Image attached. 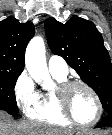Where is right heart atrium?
<instances>
[{"instance_id": "d8ad5b80", "label": "right heart atrium", "mask_w": 112, "mask_h": 135, "mask_svg": "<svg viewBox=\"0 0 112 135\" xmlns=\"http://www.w3.org/2000/svg\"><path fill=\"white\" fill-rule=\"evenodd\" d=\"M14 98L20 110L27 113L37 102L38 90L31 76L23 71L14 84Z\"/></svg>"}]
</instances>
